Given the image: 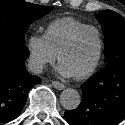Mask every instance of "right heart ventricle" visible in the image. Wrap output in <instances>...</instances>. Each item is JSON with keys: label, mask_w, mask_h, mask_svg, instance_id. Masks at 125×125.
<instances>
[{"label": "right heart ventricle", "mask_w": 125, "mask_h": 125, "mask_svg": "<svg viewBox=\"0 0 125 125\" xmlns=\"http://www.w3.org/2000/svg\"><path fill=\"white\" fill-rule=\"evenodd\" d=\"M87 25L74 17L59 18L47 25L44 36L50 49L57 55L69 37Z\"/></svg>", "instance_id": "obj_1"}]
</instances>
